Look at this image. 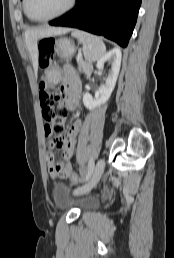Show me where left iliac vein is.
<instances>
[{
  "mask_svg": "<svg viewBox=\"0 0 174 258\" xmlns=\"http://www.w3.org/2000/svg\"><path fill=\"white\" fill-rule=\"evenodd\" d=\"M104 168H105V161L103 159H99L98 162L96 163L94 172H93L90 180L87 183H85L83 186L76 189L74 194L75 195H83V194L90 192L96 186L98 181L100 180V178L104 172Z\"/></svg>",
  "mask_w": 174,
  "mask_h": 258,
  "instance_id": "1",
  "label": "left iliac vein"
}]
</instances>
